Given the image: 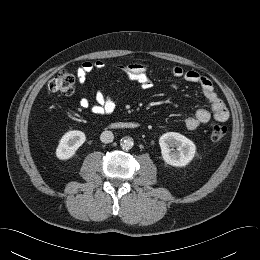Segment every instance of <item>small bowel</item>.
Wrapping results in <instances>:
<instances>
[{"mask_svg":"<svg viewBox=\"0 0 260 260\" xmlns=\"http://www.w3.org/2000/svg\"><path fill=\"white\" fill-rule=\"evenodd\" d=\"M106 64L97 60L94 62L85 61L76 69V77L80 84H84L87 76L94 70L101 71L105 69ZM113 68L125 74L133 81H135L141 90H148L151 87V80L149 78V64L142 62H131L127 64H113ZM170 73L178 79L186 82L197 84L201 87L205 97L211 104V109H198L192 116L185 121L186 127L189 130H196L202 124L210 121L211 118L219 122H224L229 117V112L225 102L216 93L212 82L205 76L196 71L185 70L180 66H172ZM173 88L177 85L173 84ZM82 109H90L93 115L101 117L113 113L116 108V102L113 97L99 91L96 94L95 103L90 105L87 98H82L79 102Z\"/></svg>","mask_w":260,"mask_h":260,"instance_id":"1","label":"small bowel"}]
</instances>
